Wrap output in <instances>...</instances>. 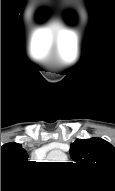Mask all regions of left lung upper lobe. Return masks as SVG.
<instances>
[{
  "mask_svg": "<svg viewBox=\"0 0 115 191\" xmlns=\"http://www.w3.org/2000/svg\"><path fill=\"white\" fill-rule=\"evenodd\" d=\"M78 166L115 181V148L101 138L77 139L70 146Z\"/></svg>",
  "mask_w": 115,
  "mask_h": 191,
  "instance_id": "5c2ea615",
  "label": "left lung upper lobe"
}]
</instances>
